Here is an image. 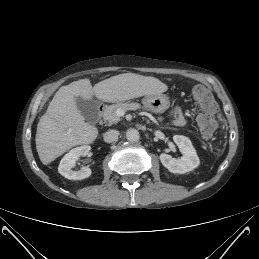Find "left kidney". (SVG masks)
<instances>
[{"label":"left kidney","mask_w":259,"mask_h":259,"mask_svg":"<svg viewBox=\"0 0 259 259\" xmlns=\"http://www.w3.org/2000/svg\"><path fill=\"white\" fill-rule=\"evenodd\" d=\"M175 144L178 146L183 156L180 159L161 153L160 161L172 173L184 174L198 167L200 161L190 139L182 135L173 137Z\"/></svg>","instance_id":"5707ae66"}]
</instances>
